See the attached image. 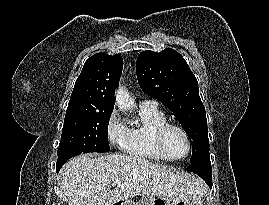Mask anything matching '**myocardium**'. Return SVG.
<instances>
[{
	"label": "myocardium",
	"instance_id": "1",
	"mask_svg": "<svg viewBox=\"0 0 269 205\" xmlns=\"http://www.w3.org/2000/svg\"><path fill=\"white\" fill-rule=\"evenodd\" d=\"M170 129L179 130L184 135V137L186 139L187 152L182 157H174V156L170 155L165 147V137H166L167 132ZM153 143H154V146H155L157 152L163 158H165L166 160H169V161L184 160L190 155V153L192 151V141H191L189 133L187 132V130L183 126H181L177 123H173V122H168V121L164 122L155 129L154 134H153Z\"/></svg>",
	"mask_w": 269,
	"mask_h": 205
}]
</instances>
